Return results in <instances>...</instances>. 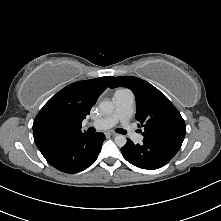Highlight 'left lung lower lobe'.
<instances>
[{
  "instance_id": "left-lung-lower-lobe-1",
  "label": "left lung lower lobe",
  "mask_w": 221,
  "mask_h": 221,
  "mask_svg": "<svg viewBox=\"0 0 221 221\" xmlns=\"http://www.w3.org/2000/svg\"><path fill=\"white\" fill-rule=\"evenodd\" d=\"M181 146L169 143H154L144 141L134 144L127 139L126 145L121 149L123 157L132 165L154 170L167 164L179 151Z\"/></svg>"
}]
</instances>
